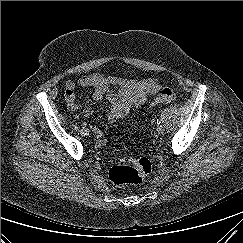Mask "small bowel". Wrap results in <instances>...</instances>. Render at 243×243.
I'll return each mask as SVG.
<instances>
[{
	"label": "small bowel",
	"mask_w": 243,
	"mask_h": 243,
	"mask_svg": "<svg viewBox=\"0 0 243 243\" xmlns=\"http://www.w3.org/2000/svg\"><path fill=\"white\" fill-rule=\"evenodd\" d=\"M92 87L94 89L92 98L96 101L108 100L111 109L108 120L114 123L125 117L133 108L143 105L149 95L157 93L161 84L156 78L146 79H124L101 73H92L80 77L77 80H69L65 86V101L71 111L78 109L76 102V90L78 88ZM83 115L87 118L94 115L91 107L83 109ZM97 144L102 146L105 139L102 130L98 126L92 128Z\"/></svg>",
	"instance_id": "obj_1"
}]
</instances>
